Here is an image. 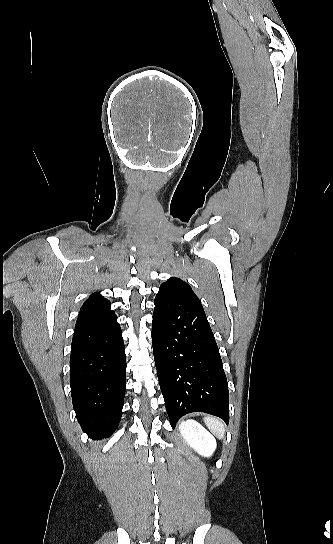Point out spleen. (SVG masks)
<instances>
[{
    "label": "spleen",
    "instance_id": "obj_1",
    "mask_svg": "<svg viewBox=\"0 0 333 544\" xmlns=\"http://www.w3.org/2000/svg\"><path fill=\"white\" fill-rule=\"evenodd\" d=\"M204 422L208 429L216 435L219 439L224 437L225 427L223 422L215 417L207 416L204 418Z\"/></svg>",
    "mask_w": 333,
    "mask_h": 544
}]
</instances>
